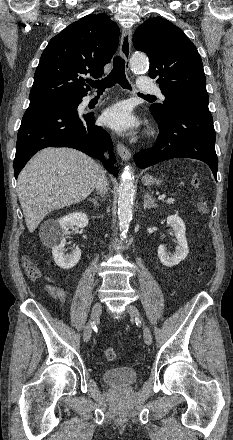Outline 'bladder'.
Masks as SVG:
<instances>
[{"label": "bladder", "instance_id": "obj_1", "mask_svg": "<svg viewBox=\"0 0 233 440\" xmlns=\"http://www.w3.org/2000/svg\"><path fill=\"white\" fill-rule=\"evenodd\" d=\"M103 380L113 387L126 388L134 384L137 371L131 367H117L102 372Z\"/></svg>", "mask_w": 233, "mask_h": 440}]
</instances>
